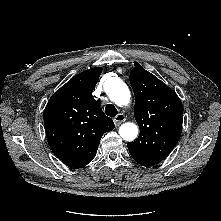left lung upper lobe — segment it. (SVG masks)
Instances as JSON below:
<instances>
[{"mask_svg": "<svg viewBox=\"0 0 221 221\" xmlns=\"http://www.w3.org/2000/svg\"><path fill=\"white\" fill-rule=\"evenodd\" d=\"M129 79L135 94V119L139 137L127 144L142 166L162 161L177 144L183 122V106L177 94L135 62Z\"/></svg>", "mask_w": 221, "mask_h": 221, "instance_id": "1", "label": "left lung upper lobe"}]
</instances>
